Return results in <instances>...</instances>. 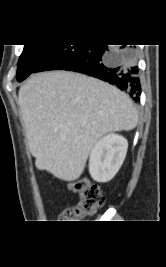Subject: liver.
<instances>
[{
    "instance_id": "liver-1",
    "label": "liver",
    "mask_w": 166,
    "mask_h": 267,
    "mask_svg": "<svg viewBox=\"0 0 166 267\" xmlns=\"http://www.w3.org/2000/svg\"><path fill=\"white\" fill-rule=\"evenodd\" d=\"M18 100L36 167L64 181L81 176L102 136L133 130L138 123L125 93L73 72L33 75L20 88Z\"/></svg>"
}]
</instances>
